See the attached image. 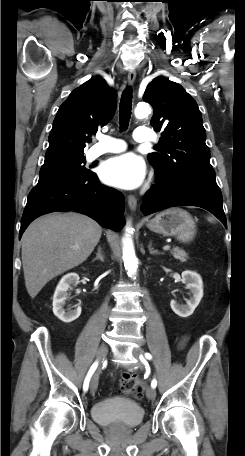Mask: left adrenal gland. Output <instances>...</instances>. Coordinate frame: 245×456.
<instances>
[{"label": "left adrenal gland", "instance_id": "obj_1", "mask_svg": "<svg viewBox=\"0 0 245 456\" xmlns=\"http://www.w3.org/2000/svg\"><path fill=\"white\" fill-rule=\"evenodd\" d=\"M148 249H149V253L154 255V254H162L161 252H159L158 250H155L153 247H152V243L150 242L149 245H148Z\"/></svg>", "mask_w": 245, "mask_h": 456}]
</instances>
